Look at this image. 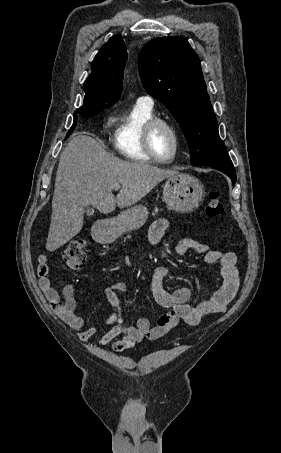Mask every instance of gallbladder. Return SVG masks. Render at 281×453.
<instances>
[{
	"mask_svg": "<svg viewBox=\"0 0 281 453\" xmlns=\"http://www.w3.org/2000/svg\"><path fill=\"white\" fill-rule=\"evenodd\" d=\"M93 212H94L93 208H88L87 214H89V216H90V214H93Z\"/></svg>",
	"mask_w": 281,
	"mask_h": 453,
	"instance_id": "bac80fb5",
	"label": "gallbladder"
}]
</instances>
